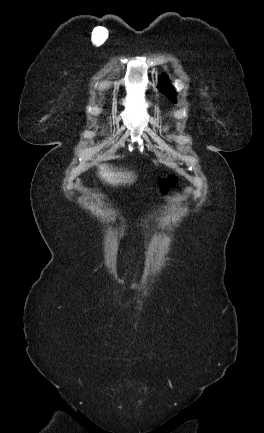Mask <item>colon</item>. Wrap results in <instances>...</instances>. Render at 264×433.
<instances>
[{
    "instance_id": "colon-1",
    "label": "colon",
    "mask_w": 264,
    "mask_h": 433,
    "mask_svg": "<svg viewBox=\"0 0 264 433\" xmlns=\"http://www.w3.org/2000/svg\"><path fill=\"white\" fill-rule=\"evenodd\" d=\"M162 183H163L164 187H166L168 185L169 186H175V184H176V178L173 177V176H170L167 179L163 180Z\"/></svg>"
}]
</instances>
